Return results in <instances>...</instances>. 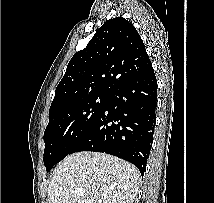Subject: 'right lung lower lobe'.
Here are the masks:
<instances>
[{"label":"right lung lower lobe","instance_id":"1","mask_svg":"<svg viewBox=\"0 0 214 203\" xmlns=\"http://www.w3.org/2000/svg\"><path fill=\"white\" fill-rule=\"evenodd\" d=\"M157 80L153 68L108 93V101L70 154H111L146 170L156 123Z\"/></svg>","mask_w":214,"mask_h":203}]
</instances>
